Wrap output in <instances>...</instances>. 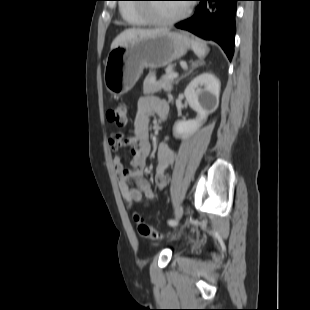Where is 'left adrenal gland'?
Masks as SVG:
<instances>
[{
  "mask_svg": "<svg viewBox=\"0 0 310 310\" xmlns=\"http://www.w3.org/2000/svg\"><path fill=\"white\" fill-rule=\"evenodd\" d=\"M204 63L201 61H195V62H191V69L183 76H181L179 79L176 80L175 84L177 85L179 83V81L185 77H187L188 75H190L194 69H196L199 66H202Z\"/></svg>",
  "mask_w": 310,
  "mask_h": 310,
  "instance_id": "obj_1",
  "label": "left adrenal gland"
}]
</instances>
